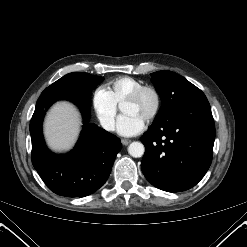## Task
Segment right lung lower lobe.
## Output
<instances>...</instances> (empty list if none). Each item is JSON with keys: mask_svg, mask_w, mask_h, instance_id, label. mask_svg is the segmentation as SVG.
<instances>
[{"mask_svg": "<svg viewBox=\"0 0 247 247\" xmlns=\"http://www.w3.org/2000/svg\"><path fill=\"white\" fill-rule=\"evenodd\" d=\"M89 95L42 92L30 122L33 166L50 190L61 196L84 197L98 190L108 179L121 149L119 138L88 123ZM61 99L72 101L80 108L84 128L70 153L55 155L45 145L42 121L47 109Z\"/></svg>", "mask_w": 247, "mask_h": 247, "instance_id": "right-lung-lower-lobe-1", "label": "right lung lower lobe"}]
</instances>
